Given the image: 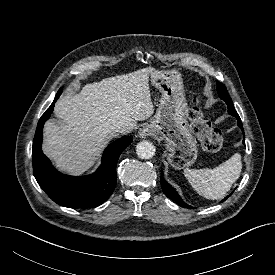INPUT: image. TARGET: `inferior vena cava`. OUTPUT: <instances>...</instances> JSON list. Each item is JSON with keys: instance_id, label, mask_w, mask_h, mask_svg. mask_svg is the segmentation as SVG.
Masks as SVG:
<instances>
[{"instance_id": "602c4592", "label": "inferior vena cava", "mask_w": 275, "mask_h": 275, "mask_svg": "<svg viewBox=\"0 0 275 275\" xmlns=\"http://www.w3.org/2000/svg\"><path fill=\"white\" fill-rule=\"evenodd\" d=\"M129 131L130 129L125 125L119 126L116 130L117 133H129Z\"/></svg>"}]
</instances>
